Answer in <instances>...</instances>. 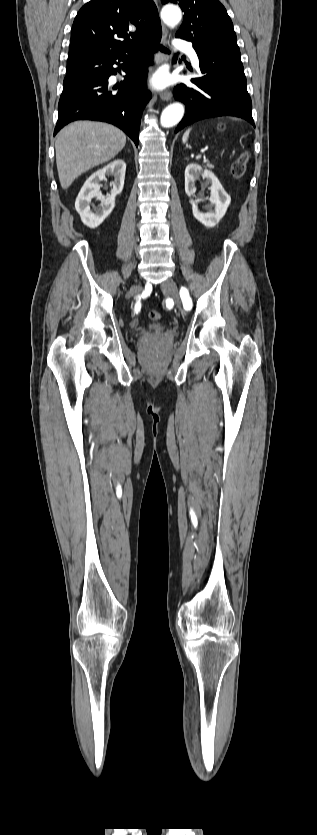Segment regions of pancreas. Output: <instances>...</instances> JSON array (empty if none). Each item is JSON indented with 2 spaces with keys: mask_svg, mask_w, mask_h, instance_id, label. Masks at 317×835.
Listing matches in <instances>:
<instances>
[{
  "mask_svg": "<svg viewBox=\"0 0 317 835\" xmlns=\"http://www.w3.org/2000/svg\"><path fill=\"white\" fill-rule=\"evenodd\" d=\"M207 167H208V168H210V169H212V168H214V165H212V164L208 163V164H207Z\"/></svg>",
  "mask_w": 317,
  "mask_h": 835,
  "instance_id": "obj_1",
  "label": "pancreas"
}]
</instances>
